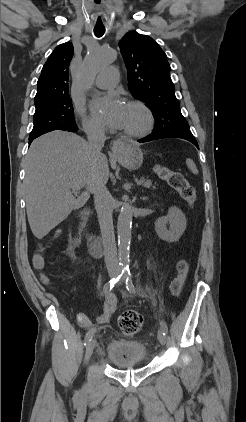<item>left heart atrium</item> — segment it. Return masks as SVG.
Masks as SVG:
<instances>
[{"label": "left heart atrium", "mask_w": 246, "mask_h": 422, "mask_svg": "<svg viewBox=\"0 0 246 422\" xmlns=\"http://www.w3.org/2000/svg\"><path fill=\"white\" fill-rule=\"evenodd\" d=\"M93 116L103 124L119 129L122 128L126 105L116 94L100 97L91 106Z\"/></svg>", "instance_id": "obj_1"}]
</instances>
